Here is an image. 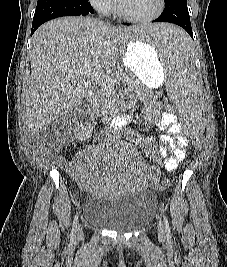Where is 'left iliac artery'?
Returning <instances> with one entry per match:
<instances>
[{
  "label": "left iliac artery",
  "instance_id": "left-iliac-artery-1",
  "mask_svg": "<svg viewBox=\"0 0 227 267\" xmlns=\"http://www.w3.org/2000/svg\"><path fill=\"white\" fill-rule=\"evenodd\" d=\"M162 212H163V210H162ZM163 221H164L167 236L169 237L170 236V227H169L168 219L165 215H163Z\"/></svg>",
  "mask_w": 227,
  "mask_h": 267
}]
</instances>
